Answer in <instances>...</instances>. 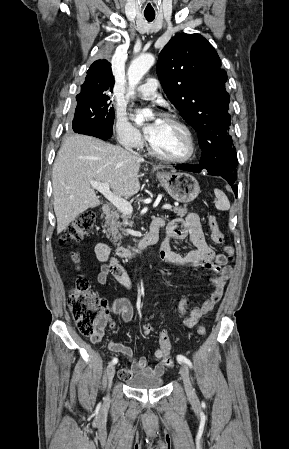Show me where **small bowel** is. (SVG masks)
Instances as JSON below:
<instances>
[{
    "mask_svg": "<svg viewBox=\"0 0 289 449\" xmlns=\"http://www.w3.org/2000/svg\"><path fill=\"white\" fill-rule=\"evenodd\" d=\"M153 224L162 226L164 220L160 217L156 218ZM186 236H188L189 243L194 249L185 255H181L173 249L172 244ZM95 254L97 259L102 262L101 269L96 277L99 285L106 284L108 279L113 277L125 288L129 289L131 287V281L127 272L119 261L110 255L106 244H97ZM160 257L164 262L173 266L204 268L217 273V276L211 280L213 290L210 297L201 306L191 310L183 320V326L185 328H192L202 316L212 311L220 301L225 285L233 273V269L227 264V259L224 255L216 254L212 247L207 244L199 217L195 213L188 214L184 220L177 219L167 225V237L161 245ZM186 309L187 300L181 299L178 305L179 313L185 315ZM113 314L120 315L123 323L127 324L133 318V306L127 298H119L110 305L105 303L99 330L90 338L91 342L97 343L102 339L106 325L111 329L116 328L112 320ZM108 348L112 352L122 354L130 363V368L121 369L119 372L120 378L124 381L132 378L136 373L161 376L168 366L159 349L154 352V357L160 361L154 366H149L145 357L134 359L133 351L127 345L111 340L108 343Z\"/></svg>",
    "mask_w": 289,
    "mask_h": 449,
    "instance_id": "c3829d8e",
    "label": "small bowel"
}]
</instances>
